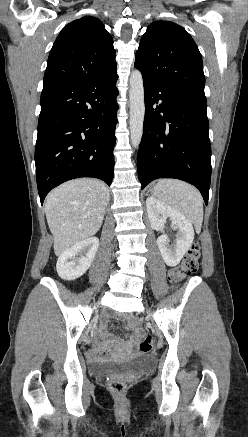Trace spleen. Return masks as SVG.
Segmentation results:
<instances>
[{
	"label": "spleen",
	"mask_w": 248,
	"mask_h": 437,
	"mask_svg": "<svg viewBox=\"0 0 248 437\" xmlns=\"http://www.w3.org/2000/svg\"><path fill=\"white\" fill-rule=\"evenodd\" d=\"M154 195L166 205L182 213L196 230L203 222V199L192 185L175 179H162L154 187Z\"/></svg>",
	"instance_id": "3e777b00"
}]
</instances>
